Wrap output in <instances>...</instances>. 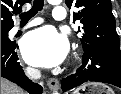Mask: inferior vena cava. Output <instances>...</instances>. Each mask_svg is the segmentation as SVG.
<instances>
[{"label":"inferior vena cava","mask_w":121,"mask_h":94,"mask_svg":"<svg viewBox=\"0 0 121 94\" xmlns=\"http://www.w3.org/2000/svg\"><path fill=\"white\" fill-rule=\"evenodd\" d=\"M26 75L33 81L38 80L41 77V72L37 69L27 68Z\"/></svg>","instance_id":"602c4592"}]
</instances>
